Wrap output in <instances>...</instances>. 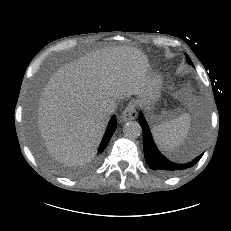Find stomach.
I'll list each match as a JSON object with an SVG mask.
<instances>
[{"instance_id":"obj_1","label":"stomach","mask_w":231,"mask_h":231,"mask_svg":"<svg viewBox=\"0 0 231 231\" xmlns=\"http://www.w3.org/2000/svg\"><path fill=\"white\" fill-rule=\"evenodd\" d=\"M162 78L157 73L149 72L145 90L139 95L136 103L142 106L150 119H153L155 103L161 96Z\"/></svg>"}]
</instances>
